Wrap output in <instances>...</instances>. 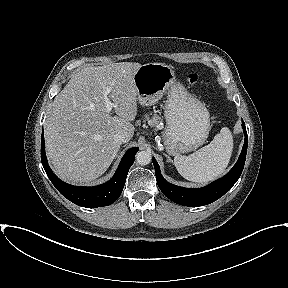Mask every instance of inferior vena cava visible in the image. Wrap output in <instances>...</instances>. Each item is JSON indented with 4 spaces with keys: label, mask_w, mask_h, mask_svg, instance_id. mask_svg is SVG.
I'll return each mask as SVG.
<instances>
[{
    "label": "inferior vena cava",
    "mask_w": 288,
    "mask_h": 288,
    "mask_svg": "<svg viewBox=\"0 0 288 288\" xmlns=\"http://www.w3.org/2000/svg\"><path fill=\"white\" fill-rule=\"evenodd\" d=\"M115 141L118 142V143H123L125 142V137L121 134H116L115 137H114Z\"/></svg>",
    "instance_id": "inferior-vena-cava-1"
}]
</instances>
